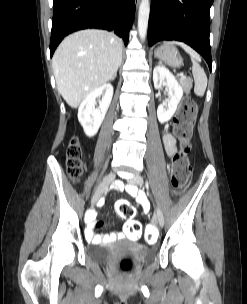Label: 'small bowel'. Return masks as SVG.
<instances>
[{"instance_id":"1","label":"small bowel","mask_w":247,"mask_h":304,"mask_svg":"<svg viewBox=\"0 0 247 304\" xmlns=\"http://www.w3.org/2000/svg\"><path fill=\"white\" fill-rule=\"evenodd\" d=\"M162 137H163V143H164L166 153L170 157H173L174 155H176V152H177V145H176L175 138L171 135V133L168 131L167 128L163 129ZM126 190L129 194H131L132 196H134L136 198L137 202L142 207V210L144 213L149 211L150 204H149L147 196L145 195L144 192L138 191L136 188H134L132 186L127 187ZM101 226H102V223L94 219L91 222L90 226L86 229V232H85L86 239L88 241H91L92 243H101V242H112L116 239H122L126 236L129 237L128 235H125L124 233H119V234L107 233V234H102V235L96 234L95 229H97Z\"/></svg>"}]
</instances>
